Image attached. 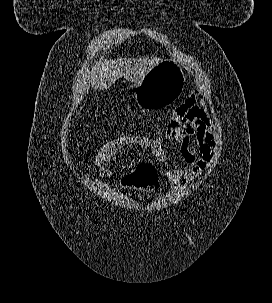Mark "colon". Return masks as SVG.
Returning <instances> with one entry per match:
<instances>
[{
	"mask_svg": "<svg viewBox=\"0 0 272 303\" xmlns=\"http://www.w3.org/2000/svg\"><path fill=\"white\" fill-rule=\"evenodd\" d=\"M115 139L108 141L94 156L89 168L100 173L109 163L111 152L116 148ZM158 185L155 168L151 165H141L134 173V187L137 189H153Z\"/></svg>",
	"mask_w": 272,
	"mask_h": 303,
	"instance_id": "obj_1",
	"label": "colon"
}]
</instances>
